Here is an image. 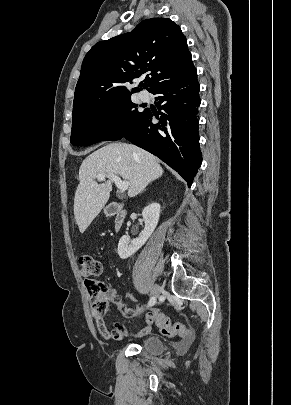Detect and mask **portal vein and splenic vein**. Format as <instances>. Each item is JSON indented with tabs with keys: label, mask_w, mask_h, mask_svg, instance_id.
I'll return each instance as SVG.
<instances>
[{
	"label": "portal vein and splenic vein",
	"mask_w": 291,
	"mask_h": 405,
	"mask_svg": "<svg viewBox=\"0 0 291 405\" xmlns=\"http://www.w3.org/2000/svg\"><path fill=\"white\" fill-rule=\"evenodd\" d=\"M109 177L114 181L116 186L119 188L120 191H125L129 187L128 181H122L120 177L114 174H109ZM96 178L98 180H104L105 179V174H97Z\"/></svg>",
	"instance_id": "1"
}]
</instances>
